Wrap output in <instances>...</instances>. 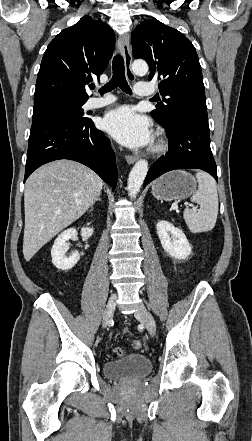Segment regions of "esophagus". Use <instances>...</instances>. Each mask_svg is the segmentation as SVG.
Returning a JSON list of instances; mask_svg holds the SVG:
<instances>
[{"instance_id": "1", "label": "esophagus", "mask_w": 252, "mask_h": 441, "mask_svg": "<svg viewBox=\"0 0 252 441\" xmlns=\"http://www.w3.org/2000/svg\"><path fill=\"white\" fill-rule=\"evenodd\" d=\"M118 45L120 47V50H121L123 58H124L127 78L130 81H135L136 77L131 69L132 54H131V48H130V41H129V37L127 34H124L119 37ZM137 160H138V156H133V155L126 156V161L128 164H133Z\"/></svg>"}]
</instances>
